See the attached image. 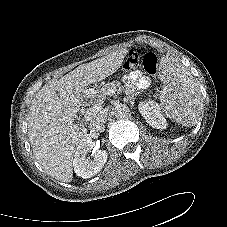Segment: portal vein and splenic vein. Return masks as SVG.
Segmentation results:
<instances>
[{"label":"portal vein and splenic vein","instance_id":"1","mask_svg":"<svg viewBox=\"0 0 227 227\" xmlns=\"http://www.w3.org/2000/svg\"><path fill=\"white\" fill-rule=\"evenodd\" d=\"M111 92V91H110ZM110 95V93H109ZM100 110V105L97 104V105H94L93 107L89 108L87 111H86V115L87 116H90L92 115V113H95V112H98Z\"/></svg>","mask_w":227,"mask_h":227}]
</instances>
